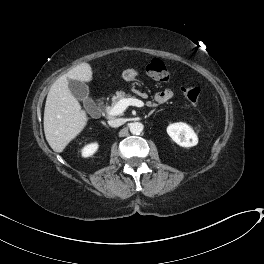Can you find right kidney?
I'll return each instance as SVG.
<instances>
[{
    "mask_svg": "<svg viewBox=\"0 0 264 264\" xmlns=\"http://www.w3.org/2000/svg\"><path fill=\"white\" fill-rule=\"evenodd\" d=\"M98 149V144L97 143H92V144H88L86 145L81 153L83 157H89L92 156Z\"/></svg>",
    "mask_w": 264,
    "mask_h": 264,
    "instance_id": "1",
    "label": "right kidney"
}]
</instances>
